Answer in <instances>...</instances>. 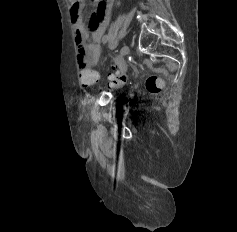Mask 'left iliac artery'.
Segmentation results:
<instances>
[{"instance_id": "1", "label": "left iliac artery", "mask_w": 237, "mask_h": 232, "mask_svg": "<svg viewBox=\"0 0 237 232\" xmlns=\"http://www.w3.org/2000/svg\"><path fill=\"white\" fill-rule=\"evenodd\" d=\"M108 41V35H104L102 38L103 44H105Z\"/></svg>"}]
</instances>
